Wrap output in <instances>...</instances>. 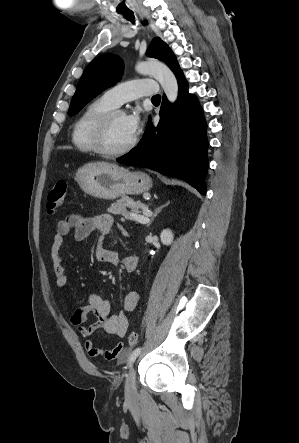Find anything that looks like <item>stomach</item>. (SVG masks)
Returning <instances> with one entry per match:
<instances>
[{
    "label": "stomach",
    "instance_id": "0dacf381",
    "mask_svg": "<svg viewBox=\"0 0 299 443\" xmlns=\"http://www.w3.org/2000/svg\"><path fill=\"white\" fill-rule=\"evenodd\" d=\"M75 180L85 193L107 200L141 194L152 187L147 174L130 172L109 163L86 164L78 169Z\"/></svg>",
    "mask_w": 299,
    "mask_h": 443
}]
</instances>
